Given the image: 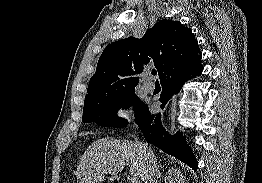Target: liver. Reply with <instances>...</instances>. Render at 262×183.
<instances>
[{
	"instance_id": "6515ba94",
	"label": "liver",
	"mask_w": 262,
	"mask_h": 183,
	"mask_svg": "<svg viewBox=\"0 0 262 183\" xmlns=\"http://www.w3.org/2000/svg\"><path fill=\"white\" fill-rule=\"evenodd\" d=\"M130 165V173L144 180V161L137 143L112 137L100 138L88 146L80 159L78 183H102L105 174L114 175ZM108 181L118 176L107 178Z\"/></svg>"
}]
</instances>
